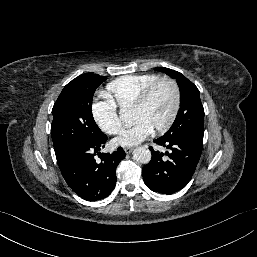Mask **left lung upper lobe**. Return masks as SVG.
I'll use <instances>...</instances> for the list:
<instances>
[{
  "instance_id": "5c2ea615",
  "label": "left lung upper lobe",
  "mask_w": 257,
  "mask_h": 257,
  "mask_svg": "<svg viewBox=\"0 0 257 257\" xmlns=\"http://www.w3.org/2000/svg\"><path fill=\"white\" fill-rule=\"evenodd\" d=\"M164 72L177 80L180 89V109L171 128L162 136L166 139L194 136L203 139L204 109L197 87L181 73L164 67Z\"/></svg>"
}]
</instances>
